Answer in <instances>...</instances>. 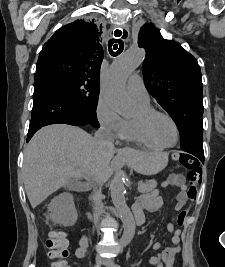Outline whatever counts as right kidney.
Segmentation results:
<instances>
[{
	"mask_svg": "<svg viewBox=\"0 0 225 267\" xmlns=\"http://www.w3.org/2000/svg\"><path fill=\"white\" fill-rule=\"evenodd\" d=\"M50 218L55 223L63 226H72L77 221V211L75 209L73 196L70 193H62L55 197L48 205Z\"/></svg>",
	"mask_w": 225,
	"mask_h": 267,
	"instance_id": "right-kidney-1",
	"label": "right kidney"
}]
</instances>
